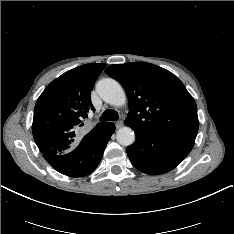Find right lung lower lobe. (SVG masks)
<instances>
[{"mask_svg": "<svg viewBox=\"0 0 234 234\" xmlns=\"http://www.w3.org/2000/svg\"><path fill=\"white\" fill-rule=\"evenodd\" d=\"M115 131L113 123H103L86 134L78 146L64 154H45L46 161L58 172L82 177L92 173L103 156L111 135Z\"/></svg>", "mask_w": 234, "mask_h": 234, "instance_id": "1", "label": "right lung lower lobe"}]
</instances>
